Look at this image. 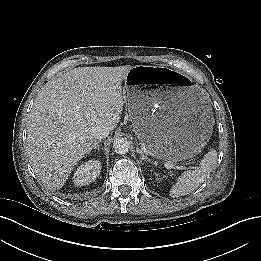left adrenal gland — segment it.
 I'll return each mask as SVG.
<instances>
[{
    "mask_svg": "<svg viewBox=\"0 0 261 261\" xmlns=\"http://www.w3.org/2000/svg\"><path fill=\"white\" fill-rule=\"evenodd\" d=\"M136 151H137V153L140 154V161H141V162H142V161H148V162H149L148 157L144 154V152H143L141 149H139V148L137 147V148H136Z\"/></svg>",
    "mask_w": 261,
    "mask_h": 261,
    "instance_id": "1",
    "label": "left adrenal gland"
}]
</instances>
